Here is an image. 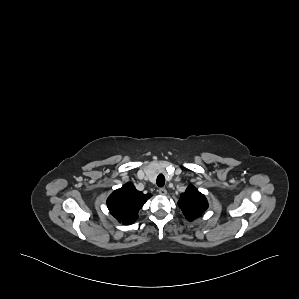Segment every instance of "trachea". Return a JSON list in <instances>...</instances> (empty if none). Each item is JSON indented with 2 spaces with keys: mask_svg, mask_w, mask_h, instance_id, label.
<instances>
[{
  "mask_svg": "<svg viewBox=\"0 0 299 299\" xmlns=\"http://www.w3.org/2000/svg\"><path fill=\"white\" fill-rule=\"evenodd\" d=\"M157 185L163 187L165 185V177L163 174H159L157 177Z\"/></svg>",
  "mask_w": 299,
  "mask_h": 299,
  "instance_id": "trachea-1",
  "label": "trachea"
}]
</instances>
